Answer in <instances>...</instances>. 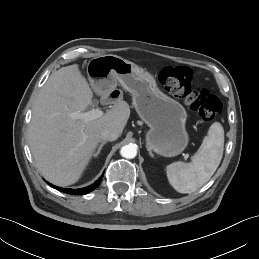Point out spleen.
Segmentation results:
<instances>
[{
  "label": "spleen",
  "instance_id": "3e777b00",
  "mask_svg": "<svg viewBox=\"0 0 259 259\" xmlns=\"http://www.w3.org/2000/svg\"><path fill=\"white\" fill-rule=\"evenodd\" d=\"M224 150V129L213 123L190 163L175 162L166 166L171 186L179 193H193L206 184L218 168Z\"/></svg>",
  "mask_w": 259,
  "mask_h": 259
}]
</instances>
